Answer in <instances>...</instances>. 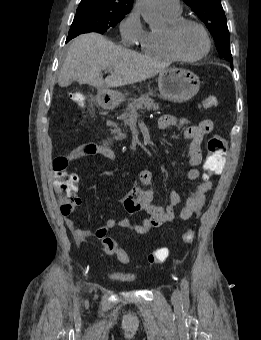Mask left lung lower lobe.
I'll use <instances>...</instances> for the list:
<instances>
[{"label": "left lung lower lobe", "instance_id": "0a47b994", "mask_svg": "<svg viewBox=\"0 0 261 340\" xmlns=\"http://www.w3.org/2000/svg\"><path fill=\"white\" fill-rule=\"evenodd\" d=\"M231 69H233V65H231Z\"/></svg>", "mask_w": 261, "mask_h": 340}]
</instances>
